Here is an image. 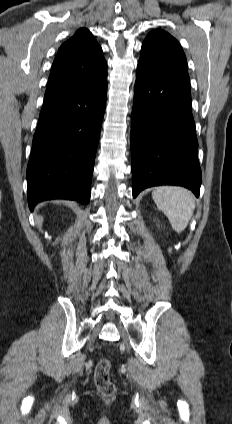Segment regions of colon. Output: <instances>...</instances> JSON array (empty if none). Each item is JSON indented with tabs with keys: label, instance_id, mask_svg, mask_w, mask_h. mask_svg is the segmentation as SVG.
Returning a JSON list of instances; mask_svg holds the SVG:
<instances>
[{
	"label": "colon",
	"instance_id": "1",
	"mask_svg": "<svg viewBox=\"0 0 232 424\" xmlns=\"http://www.w3.org/2000/svg\"><path fill=\"white\" fill-rule=\"evenodd\" d=\"M111 361L109 359H101L95 369L94 382L97 390L104 396L110 397L115 394L116 387L110 377Z\"/></svg>",
	"mask_w": 232,
	"mask_h": 424
}]
</instances>
